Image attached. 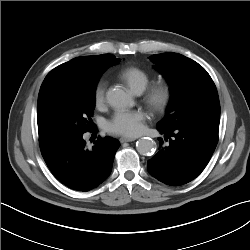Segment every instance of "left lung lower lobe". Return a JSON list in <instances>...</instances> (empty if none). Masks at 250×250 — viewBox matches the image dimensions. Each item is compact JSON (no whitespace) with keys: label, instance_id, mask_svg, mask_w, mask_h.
Segmentation results:
<instances>
[{"label":"left lung lower lobe","instance_id":"1","mask_svg":"<svg viewBox=\"0 0 250 250\" xmlns=\"http://www.w3.org/2000/svg\"><path fill=\"white\" fill-rule=\"evenodd\" d=\"M220 118L187 123L174 130L157 129L158 153L148 161V172L159 181L179 186L195 179L208 164L218 142Z\"/></svg>","mask_w":250,"mask_h":250}]
</instances>
